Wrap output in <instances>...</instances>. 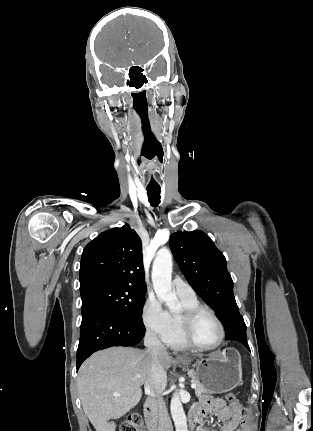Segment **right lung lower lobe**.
<instances>
[{"mask_svg": "<svg viewBox=\"0 0 313 431\" xmlns=\"http://www.w3.org/2000/svg\"><path fill=\"white\" fill-rule=\"evenodd\" d=\"M145 333L141 326L123 315L103 308L82 315L80 340L77 350V370L92 353L112 346H133Z\"/></svg>", "mask_w": 313, "mask_h": 431, "instance_id": "98d812e1", "label": "right lung lower lobe"}]
</instances>
